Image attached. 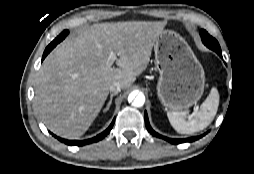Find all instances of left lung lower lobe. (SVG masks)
Returning a JSON list of instances; mask_svg holds the SVG:
<instances>
[{
  "mask_svg": "<svg viewBox=\"0 0 254 174\" xmlns=\"http://www.w3.org/2000/svg\"><path fill=\"white\" fill-rule=\"evenodd\" d=\"M220 57H222V53L219 52L217 53ZM144 117H145V124H146V128L147 130L153 135V136H156V137H160V138H163L165 139L166 141H169L170 143L172 144H180V143H183V142H193L195 140H198L199 138L203 137L205 134L201 135V136H196V137H191V138H186V139H171V138H167L165 136H161L159 135L158 133H156L150 126L149 124V120H148V116H147V113L145 112L144 114Z\"/></svg>",
  "mask_w": 254,
  "mask_h": 174,
  "instance_id": "obj_1",
  "label": "left lung lower lobe"
}]
</instances>
